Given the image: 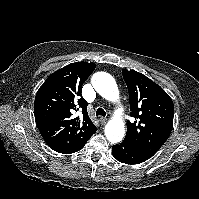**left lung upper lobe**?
Masks as SVG:
<instances>
[{
    "mask_svg": "<svg viewBox=\"0 0 199 199\" xmlns=\"http://www.w3.org/2000/svg\"><path fill=\"white\" fill-rule=\"evenodd\" d=\"M130 97V114L135 122L127 121L125 141L154 155L168 139L174 117L169 95L145 75L122 70Z\"/></svg>",
    "mask_w": 199,
    "mask_h": 199,
    "instance_id": "5c2ea615",
    "label": "left lung upper lobe"
}]
</instances>
